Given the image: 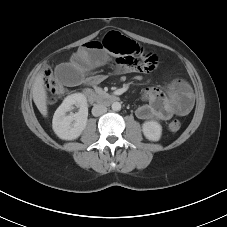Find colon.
I'll return each mask as SVG.
<instances>
[{
    "label": "colon",
    "instance_id": "5ec220e1",
    "mask_svg": "<svg viewBox=\"0 0 227 227\" xmlns=\"http://www.w3.org/2000/svg\"><path fill=\"white\" fill-rule=\"evenodd\" d=\"M98 42L103 45L105 50L116 55L118 59L121 57H133L139 60L142 64L140 71H152L158 66V59L155 55L143 52L136 42L118 32H110ZM43 82L48 93L49 103L55 102L57 98L66 93V88L56 80L49 69L44 73ZM168 128L171 132H177L181 128V121L179 119L172 120Z\"/></svg>",
    "mask_w": 227,
    "mask_h": 227
}]
</instances>
